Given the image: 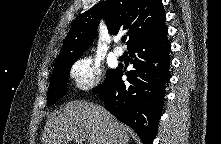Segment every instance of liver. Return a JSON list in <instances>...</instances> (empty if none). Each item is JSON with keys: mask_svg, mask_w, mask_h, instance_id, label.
I'll return each instance as SVG.
<instances>
[{"mask_svg": "<svg viewBox=\"0 0 221 144\" xmlns=\"http://www.w3.org/2000/svg\"><path fill=\"white\" fill-rule=\"evenodd\" d=\"M130 132L129 127L100 105L74 100L46 122L42 142L67 144L76 137L86 144H128Z\"/></svg>", "mask_w": 221, "mask_h": 144, "instance_id": "6515ba94", "label": "liver"}]
</instances>
